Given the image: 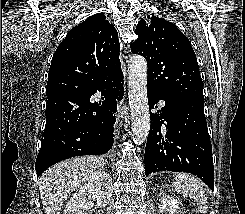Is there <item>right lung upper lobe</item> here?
<instances>
[{
  "label": "right lung upper lobe",
  "mask_w": 245,
  "mask_h": 214,
  "mask_svg": "<svg viewBox=\"0 0 245 214\" xmlns=\"http://www.w3.org/2000/svg\"><path fill=\"white\" fill-rule=\"evenodd\" d=\"M120 43L103 13L72 28L57 47L48 75L46 95L64 94L75 103L92 96L101 84L121 74Z\"/></svg>",
  "instance_id": "right-lung-upper-lobe-1"
}]
</instances>
